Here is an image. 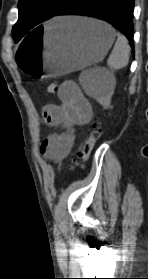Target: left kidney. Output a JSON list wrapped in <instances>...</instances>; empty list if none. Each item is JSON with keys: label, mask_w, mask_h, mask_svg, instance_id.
I'll return each mask as SVG.
<instances>
[{"label": "left kidney", "mask_w": 148, "mask_h": 279, "mask_svg": "<svg viewBox=\"0 0 148 279\" xmlns=\"http://www.w3.org/2000/svg\"><path fill=\"white\" fill-rule=\"evenodd\" d=\"M113 93H114L113 88H111V90L106 95L97 98V102L104 107L109 106L111 103V97Z\"/></svg>", "instance_id": "5707ae66"}]
</instances>
